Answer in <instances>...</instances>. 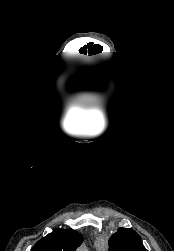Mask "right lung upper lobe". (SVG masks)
I'll list each match as a JSON object with an SVG mask.
<instances>
[{"label":"right lung upper lobe","mask_w":174,"mask_h":251,"mask_svg":"<svg viewBox=\"0 0 174 251\" xmlns=\"http://www.w3.org/2000/svg\"><path fill=\"white\" fill-rule=\"evenodd\" d=\"M83 242L80 233L70 229H55L39 240L31 251H75Z\"/></svg>","instance_id":"1"}]
</instances>
